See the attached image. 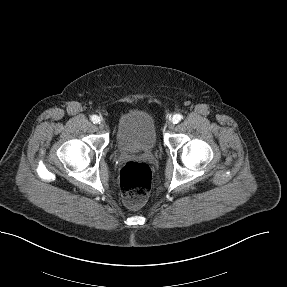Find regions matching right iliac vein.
Masks as SVG:
<instances>
[{
    "instance_id": "obj_1",
    "label": "right iliac vein",
    "mask_w": 287,
    "mask_h": 287,
    "mask_svg": "<svg viewBox=\"0 0 287 287\" xmlns=\"http://www.w3.org/2000/svg\"><path fill=\"white\" fill-rule=\"evenodd\" d=\"M99 127L100 128H104L105 127V123L103 122V120L99 121Z\"/></svg>"
}]
</instances>
